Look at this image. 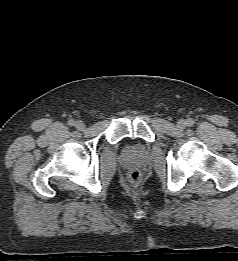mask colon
<instances>
[{"instance_id": "colon-1", "label": "colon", "mask_w": 238, "mask_h": 261, "mask_svg": "<svg viewBox=\"0 0 238 261\" xmlns=\"http://www.w3.org/2000/svg\"><path fill=\"white\" fill-rule=\"evenodd\" d=\"M127 179L131 185L137 186L141 181V174L138 171H132L128 174Z\"/></svg>"}]
</instances>
